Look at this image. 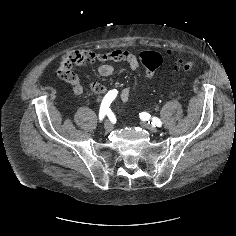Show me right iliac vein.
Returning a JSON list of instances; mask_svg holds the SVG:
<instances>
[{
	"instance_id": "1",
	"label": "right iliac vein",
	"mask_w": 236,
	"mask_h": 236,
	"mask_svg": "<svg viewBox=\"0 0 236 236\" xmlns=\"http://www.w3.org/2000/svg\"><path fill=\"white\" fill-rule=\"evenodd\" d=\"M113 127L114 126H113V123L111 121H109V120L105 121V123H104L105 131L110 132V131L113 130Z\"/></svg>"
}]
</instances>
